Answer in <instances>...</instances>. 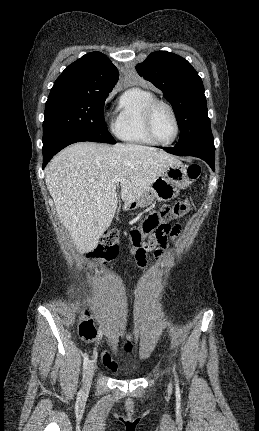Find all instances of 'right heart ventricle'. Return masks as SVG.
I'll list each match as a JSON object with an SVG mask.
<instances>
[{
    "label": "right heart ventricle",
    "mask_w": 259,
    "mask_h": 431,
    "mask_svg": "<svg viewBox=\"0 0 259 431\" xmlns=\"http://www.w3.org/2000/svg\"><path fill=\"white\" fill-rule=\"evenodd\" d=\"M154 99L156 97L151 91L141 88H130L123 93L113 124V131L121 141L133 145H155L144 126L145 108Z\"/></svg>",
    "instance_id": "1"
}]
</instances>
